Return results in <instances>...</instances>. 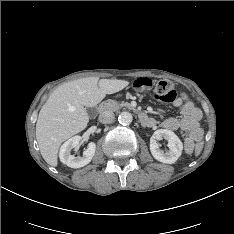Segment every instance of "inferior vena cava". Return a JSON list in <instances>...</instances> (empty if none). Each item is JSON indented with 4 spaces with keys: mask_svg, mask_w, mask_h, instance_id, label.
Listing matches in <instances>:
<instances>
[{
    "mask_svg": "<svg viewBox=\"0 0 234 234\" xmlns=\"http://www.w3.org/2000/svg\"><path fill=\"white\" fill-rule=\"evenodd\" d=\"M114 119H115V115L113 112H110V111L102 112L99 115V121L103 124L112 123Z\"/></svg>",
    "mask_w": 234,
    "mask_h": 234,
    "instance_id": "1",
    "label": "inferior vena cava"
}]
</instances>
